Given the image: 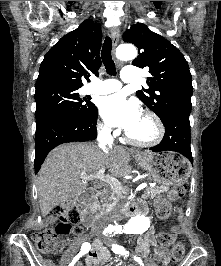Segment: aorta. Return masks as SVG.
Here are the masks:
<instances>
[{
  "mask_svg": "<svg viewBox=\"0 0 221 266\" xmlns=\"http://www.w3.org/2000/svg\"><path fill=\"white\" fill-rule=\"evenodd\" d=\"M116 56L119 60H133L137 56V50L132 44H122L116 50ZM149 226L148 218L142 215H136L121 228V231L127 234H140L147 230Z\"/></svg>",
  "mask_w": 221,
  "mask_h": 266,
  "instance_id": "aorta-1",
  "label": "aorta"
}]
</instances>
